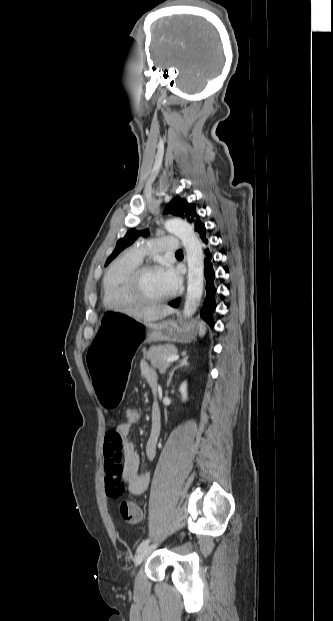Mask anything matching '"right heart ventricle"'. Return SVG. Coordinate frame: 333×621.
<instances>
[{
    "mask_svg": "<svg viewBox=\"0 0 333 621\" xmlns=\"http://www.w3.org/2000/svg\"><path fill=\"white\" fill-rule=\"evenodd\" d=\"M139 261L130 254L115 260L107 270L102 282V300L106 307H120L133 304L123 293V282L126 276Z\"/></svg>",
    "mask_w": 333,
    "mask_h": 621,
    "instance_id": "obj_1",
    "label": "right heart ventricle"
}]
</instances>
